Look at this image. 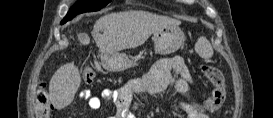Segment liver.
Returning <instances> with one entry per match:
<instances>
[{"label":"liver","instance_id":"liver-1","mask_svg":"<svg viewBox=\"0 0 273 118\" xmlns=\"http://www.w3.org/2000/svg\"><path fill=\"white\" fill-rule=\"evenodd\" d=\"M181 22L146 11H124L106 14L94 24L92 36L102 52L115 53L144 44L157 29L178 26ZM103 31L100 34L99 31ZM81 83L73 63L61 66L49 83V98L57 109L68 106Z\"/></svg>","mask_w":273,"mask_h":118}]
</instances>
